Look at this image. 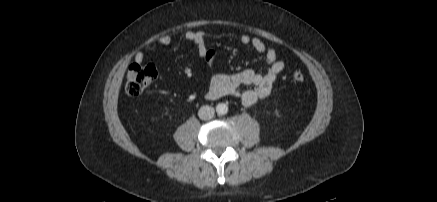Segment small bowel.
<instances>
[{
	"instance_id": "c3829d8e",
	"label": "small bowel",
	"mask_w": 437,
	"mask_h": 202,
	"mask_svg": "<svg viewBox=\"0 0 437 202\" xmlns=\"http://www.w3.org/2000/svg\"><path fill=\"white\" fill-rule=\"evenodd\" d=\"M206 37L204 31H185L178 38L192 42L197 48L198 55L211 66L215 60V54L207 48ZM176 40L177 37L173 35L159 37L156 41L140 50L135 55V61L141 63L146 55L156 52L160 46H169ZM240 41L244 45L251 46L263 56L267 64V71L261 74L252 69H246L230 75L214 72L211 75L206 96L210 100L233 96L238 98L244 106L249 107L270 94L285 64L277 58L276 50L267 46L261 39L243 34Z\"/></svg>"
}]
</instances>
